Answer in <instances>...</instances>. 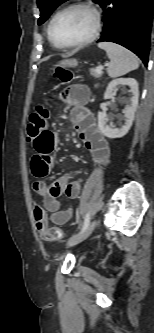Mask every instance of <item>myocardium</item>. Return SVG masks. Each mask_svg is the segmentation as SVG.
<instances>
[{
  "label": "myocardium",
  "mask_w": 154,
  "mask_h": 333,
  "mask_svg": "<svg viewBox=\"0 0 154 333\" xmlns=\"http://www.w3.org/2000/svg\"><path fill=\"white\" fill-rule=\"evenodd\" d=\"M71 9H84L91 14L92 20H93L92 31H91L90 35L83 40H80L78 42H75V43L69 44V45H61V44L57 43V41L55 40L53 33H52V27H53L55 20L61 14H63L66 11H69ZM101 26H102V22H101L100 13L93 5L86 3V2H75V3L68 4L65 7L61 8L52 16V18L50 19L49 24H48L47 32H48L49 40L56 48L68 50V49L83 47L85 45L92 43L99 36L100 31H101Z\"/></svg>",
  "instance_id": "obj_1"
}]
</instances>
